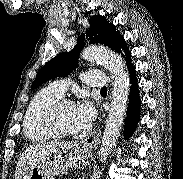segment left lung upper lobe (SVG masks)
<instances>
[{"instance_id":"obj_1","label":"left lung upper lobe","mask_w":183,"mask_h":179,"mask_svg":"<svg viewBox=\"0 0 183 179\" xmlns=\"http://www.w3.org/2000/svg\"><path fill=\"white\" fill-rule=\"evenodd\" d=\"M86 37L91 44H101L115 50L122 38L119 32L116 33L115 26L108 21L104 16L95 15L90 18V28L86 32ZM83 33L77 40V45L66 53L57 55L52 60L48 61L37 74L36 79L32 83V89L38 88L42 83L55 78L65 77L70 74L73 69L78 66V56L84 47Z\"/></svg>"}]
</instances>
